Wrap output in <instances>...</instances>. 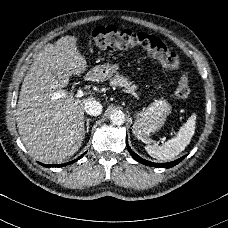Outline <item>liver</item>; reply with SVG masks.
<instances>
[{
  "mask_svg": "<svg viewBox=\"0 0 228 228\" xmlns=\"http://www.w3.org/2000/svg\"><path fill=\"white\" fill-rule=\"evenodd\" d=\"M80 36L65 35L46 44L35 56L21 86L16 122L28 151L40 161H64L85 138L84 106L93 98H76L66 87L84 74L88 61L79 48Z\"/></svg>",
  "mask_w": 228,
  "mask_h": 228,
  "instance_id": "liver-1",
  "label": "liver"
}]
</instances>
